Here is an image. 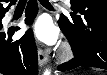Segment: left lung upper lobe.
<instances>
[{"mask_svg":"<svg viewBox=\"0 0 107 75\" xmlns=\"http://www.w3.org/2000/svg\"><path fill=\"white\" fill-rule=\"evenodd\" d=\"M72 12L60 15L59 26L73 39V52L78 56H88L91 45L82 37L86 23L99 19L107 20V0H71Z\"/></svg>","mask_w":107,"mask_h":75,"instance_id":"obj_1","label":"left lung upper lobe"}]
</instances>
